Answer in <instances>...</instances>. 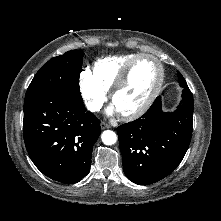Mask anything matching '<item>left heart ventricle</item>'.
Segmentation results:
<instances>
[{"label":"left heart ventricle","mask_w":221,"mask_h":221,"mask_svg":"<svg viewBox=\"0 0 221 221\" xmlns=\"http://www.w3.org/2000/svg\"><path fill=\"white\" fill-rule=\"evenodd\" d=\"M158 78L159 69L155 61L149 58L139 60L114 99L117 111L131 112L139 108L155 88Z\"/></svg>","instance_id":"left-heart-ventricle-1"}]
</instances>
